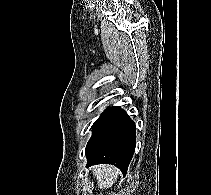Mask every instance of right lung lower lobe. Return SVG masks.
Listing matches in <instances>:
<instances>
[{
    "instance_id": "98d812e1",
    "label": "right lung lower lobe",
    "mask_w": 211,
    "mask_h": 195,
    "mask_svg": "<svg viewBox=\"0 0 211 195\" xmlns=\"http://www.w3.org/2000/svg\"><path fill=\"white\" fill-rule=\"evenodd\" d=\"M85 154L87 167L116 165L125 175L136 146L135 124L120 107L105 110L92 129Z\"/></svg>"
}]
</instances>
